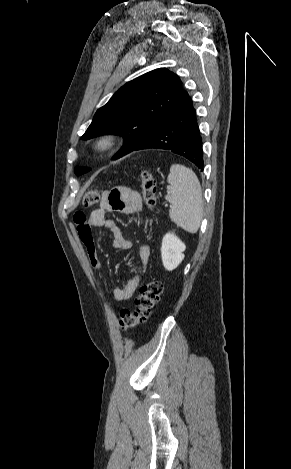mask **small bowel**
<instances>
[{"label":"small bowel","instance_id":"1","mask_svg":"<svg viewBox=\"0 0 291 469\" xmlns=\"http://www.w3.org/2000/svg\"><path fill=\"white\" fill-rule=\"evenodd\" d=\"M142 210V201L139 193L128 187H117L103 194L99 208L95 209L86 217L83 213L78 212L75 215V223L79 237L86 249L91 267L95 271L101 270V263L97 258L96 244L93 237V229L105 227L113 234L112 244L117 249H129L131 241L124 236L121 229L113 219L105 217L107 212H119L128 215H134ZM81 229L86 230V234H82ZM150 256V248L147 244H142L139 248L140 272L145 273L147 263ZM139 276L135 273L129 281L121 287L114 289V297L117 301H126L130 299L136 292Z\"/></svg>","mask_w":291,"mask_h":469}]
</instances>
